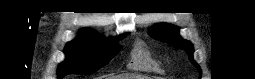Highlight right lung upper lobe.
Returning a JSON list of instances; mask_svg holds the SVG:
<instances>
[{
  "label": "right lung upper lobe",
  "instance_id": "1",
  "mask_svg": "<svg viewBox=\"0 0 255 79\" xmlns=\"http://www.w3.org/2000/svg\"><path fill=\"white\" fill-rule=\"evenodd\" d=\"M81 36L100 38L93 31H91L89 29H83L82 32H81ZM117 39H118V37L112 38L110 40H117Z\"/></svg>",
  "mask_w": 255,
  "mask_h": 79
}]
</instances>
